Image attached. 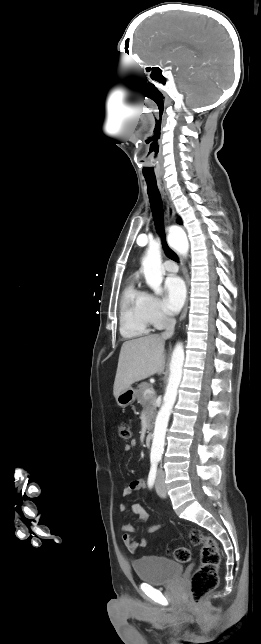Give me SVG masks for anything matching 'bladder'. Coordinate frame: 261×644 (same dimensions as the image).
<instances>
[{
	"label": "bladder",
	"mask_w": 261,
	"mask_h": 644,
	"mask_svg": "<svg viewBox=\"0 0 261 644\" xmlns=\"http://www.w3.org/2000/svg\"><path fill=\"white\" fill-rule=\"evenodd\" d=\"M134 571L144 583L152 585L167 584L177 579L183 566L173 560L156 555L142 556L133 562Z\"/></svg>",
	"instance_id": "bladder-1"
}]
</instances>
